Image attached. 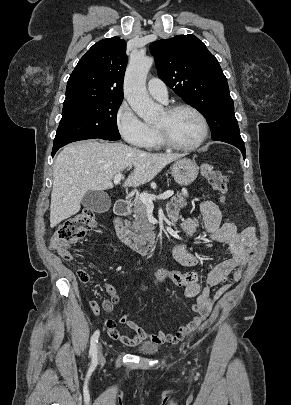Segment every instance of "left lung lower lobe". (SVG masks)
I'll use <instances>...</instances> for the list:
<instances>
[{"mask_svg": "<svg viewBox=\"0 0 291 405\" xmlns=\"http://www.w3.org/2000/svg\"><path fill=\"white\" fill-rule=\"evenodd\" d=\"M218 141L226 142V143H229V144L234 145L235 147L239 148L241 150L242 154H243L244 159H245L246 152H245V146H244L243 141H235V140H228V139L218 140Z\"/></svg>", "mask_w": 291, "mask_h": 405, "instance_id": "left-lung-lower-lobe-1", "label": "left lung lower lobe"}]
</instances>
